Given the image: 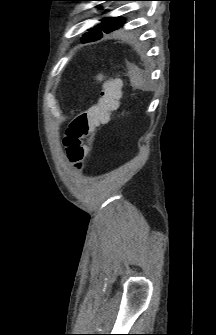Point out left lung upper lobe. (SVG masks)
I'll return each mask as SVG.
<instances>
[{"mask_svg":"<svg viewBox=\"0 0 216 335\" xmlns=\"http://www.w3.org/2000/svg\"><path fill=\"white\" fill-rule=\"evenodd\" d=\"M104 1H124V0H104ZM100 8V7H98ZM124 23V19L116 17V18H104L101 20V24L98 26L89 29V32L85 33L82 37L83 41H94L98 37H102V31L105 33L112 32L118 29Z\"/></svg>","mask_w":216,"mask_h":335,"instance_id":"obj_1","label":"left lung upper lobe"}]
</instances>
